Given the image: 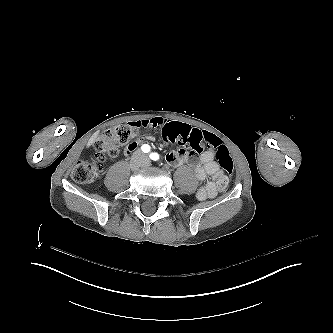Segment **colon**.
Here are the masks:
<instances>
[{
	"label": "colon",
	"mask_w": 333,
	"mask_h": 333,
	"mask_svg": "<svg viewBox=\"0 0 333 333\" xmlns=\"http://www.w3.org/2000/svg\"><path fill=\"white\" fill-rule=\"evenodd\" d=\"M136 130L127 123L117 125L104 131L94 142V149L100 155H109L114 158L119 154V147L135 145ZM161 137L167 143H179L189 146L196 152L202 151V147L216 148L215 158L225 172L220 180V186L228 185V175L233 173L234 161L228 148L220 143V140L203 128L195 129L190 123L167 122L161 128ZM104 158L97 157L94 160L78 161L72 169V178L78 183L95 180L104 170Z\"/></svg>",
	"instance_id": "colon-1"
}]
</instances>
